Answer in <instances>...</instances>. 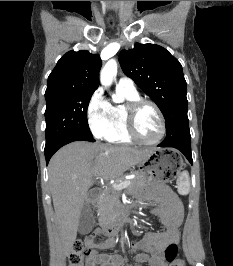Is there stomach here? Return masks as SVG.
<instances>
[{"label":"stomach","instance_id":"stomach-1","mask_svg":"<svg viewBox=\"0 0 233 266\" xmlns=\"http://www.w3.org/2000/svg\"><path fill=\"white\" fill-rule=\"evenodd\" d=\"M138 166L146 184L163 180L162 184L168 185V180H177L178 172H181V167L169 166H184V156L177 152V147H156Z\"/></svg>","mask_w":233,"mask_h":266}]
</instances>
